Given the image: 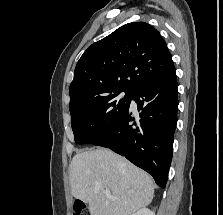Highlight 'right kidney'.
<instances>
[{"label":"right kidney","mask_w":223,"mask_h":215,"mask_svg":"<svg viewBox=\"0 0 223 215\" xmlns=\"http://www.w3.org/2000/svg\"><path fill=\"white\" fill-rule=\"evenodd\" d=\"M131 215H155V213L151 209H148V207H142V209H138L136 213H131Z\"/></svg>","instance_id":"right-kidney-1"}]
</instances>
